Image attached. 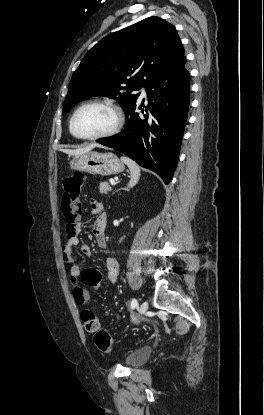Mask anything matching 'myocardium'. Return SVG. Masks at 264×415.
Returning <instances> with one entry per match:
<instances>
[{"label": "myocardium", "instance_id": "obj_1", "mask_svg": "<svg viewBox=\"0 0 264 415\" xmlns=\"http://www.w3.org/2000/svg\"><path fill=\"white\" fill-rule=\"evenodd\" d=\"M92 105L104 106V107L109 108L114 113V117H115L114 125L110 130L97 134V135H91V136L82 135L75 128V119H76L77 114L83 108L87 106H92ZM123 123H124L123 112L117 104L113 103L110 100H92V101L83 103L73 112L71 119H70V129H71L72 134L76 136L77 138L85 139V140H98V139H104V138H108V137H112L116 135L121 130Z\"/></svg>", "mask_w": 264, "mask_h": 415}]
</instances>
